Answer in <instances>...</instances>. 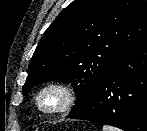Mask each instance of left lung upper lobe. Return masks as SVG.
<instances>
[{"label": "left lung upper lobe", "mask_w": 147, "mask_h": 131, "mask_svg": "<svg viewBox=\"0 0 147 131\" xmlns=\"http://www.w3.org/2000/svg\"><path fill=\"white\" fill-rule=\"evenodd\" d=\"M147 39V1L75 0L47 28L29 64L23 92L47 81L69 82L81 110L113 63Z\"/></svg>", "instance_id": "obj_1"}]
</instances>
